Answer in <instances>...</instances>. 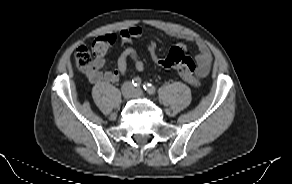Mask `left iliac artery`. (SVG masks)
Masks as SVG:
<instances>
[{
    "label": "left iliac artery",
    "instance_id": "obj_1",
    "mask_svg": "<svg viewBox=\"0 0 292 184\" xmlns=\"http://www.w3.org/2000/svg\"><path fill=\"white\" fill-rule=\"evenodd\" d=\"M143 88L151 95L156 93V88L151 83H145Z\"/></svg>",
    "mask_w": 292,
    "mask_h": 184
}]
</instances>
